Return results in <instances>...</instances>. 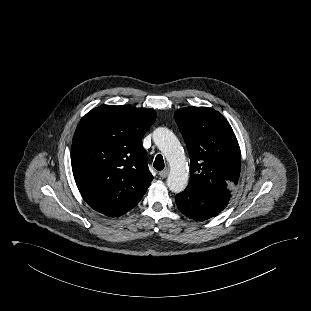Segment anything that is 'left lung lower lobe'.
<instances>
[{
    "instance_id": "left-lung-lower-lobe-1",
    "label": "left lung lower lobe",
    "mask_w": 311,
    "mask_h": 311,
    "mask_svg": "<svg viewBox=\"0 0 311 311\" xmlns=\"http://www.w3.org/2000/svg\"><path fill=\"white\" fill-rule=\"evenodd\" d=\"M176 204L184 215L201 221L219 214L227 206L228 201L187 186L185 191L176 195Z\"/></svg>"
}]
</instances>
